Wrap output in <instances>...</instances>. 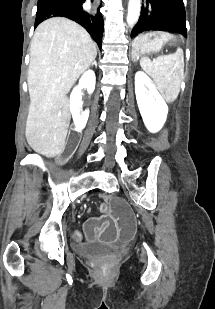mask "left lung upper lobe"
I'll list each match as a JSON object with an SVG mask.
<instances>
[{"label":"left lung upper lobe","instance_id":"obj_1","mask_svg":"<svg viewBox=\"0 0 215 309\" xmlns=\"http://www.w3.org/2000/svg\"><path fill=\"white\" fill-rule=\"evenodd\" d=\"M183 0H146L131 37L147 30H169L187 36Z\"/></svg>","mask_w":215,"mask_h":309}]
</instances>
